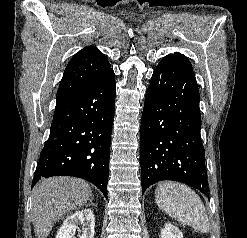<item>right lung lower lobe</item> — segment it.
<instances>
[{
  "label": "right lung lower lobe",
  "instance_id": "1",
  "mask_svg": "<svg viewBox=\"0 0 247 238\" xmlns=\"http://www.w3.org/2000/svg\"><path fill=\"white\" fill-rule=\"evenodd\" d=\"M116 84L109 69L79 94L56 106L50 136L32 186L51 176L83 178L107 197Z\"/></svg>",
  "mask_w": 247,
  "mask_h": 238
}]
</instances>
